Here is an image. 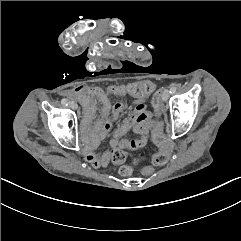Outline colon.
<instances>
[{
    "label": "colon",
    "instance_id": "1",
    "mask_svg": "<svg viewBox=\"0 0 241 241\" xmlns=\"http://www.w3.org/2000/svg\"><path fill=\"white\" fill-rule=\"evenodd\" d=\"M165 86H160L157 91L154 94V105H159V95L162 91H165ZM153 86L148 81H143L140 84L132 83L127 88V93L130 97L134 99H139L142 96H148L152 93ZM158 109V108H157ZM159 115V114H158ZM153 141L161 147L160 154H155L151 157V163L153 165H162L166 162L168 154V142L167 137L163 135V130L161 127H157L153 133ZM110 157L113 162L115 163H121L126 158V153H111ZM151 164L146 165L142 170V175L144 177H149L151 175V172H153L154 167ZM131 172L132 174H135L137 172V169L135 167H130L129 165H124L119 169V172L121 174Z\"/></svg>",
    "mask_w": 241,
    "mask_h": 241
}]
</instances>
